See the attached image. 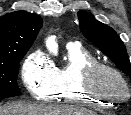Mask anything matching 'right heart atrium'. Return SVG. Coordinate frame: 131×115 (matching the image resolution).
Wrapping results in <instances>:
<instances>
[{
	"mask_svg": "<svg viewBox=\"0 0 131 115\" xmlns=\"http://www.w3.org/2000/svg\"><path fill=\"white\" fill-rule=\"evenodd\" d=\"M21 77L26 89L37 100H48L57 90L56 68L41 50L26 56L22 63Z\"/></svg>",
	"mask_w": 131,
	"mask_h": 115,
	"instance_id": "obj_1",
	"label": "right heart atrium"
}]
</instances>
